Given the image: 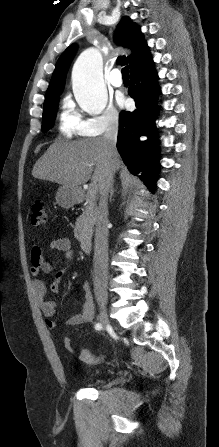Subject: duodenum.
Returning a JSON list of instances; mask_svg holds the SVG:
<instances>
[{"label":"duodenum","mask_w":219,"mask_h":447,"mask_svg":"<svg viewBox=\"0 0 219 447\" xmlns=\"http://www.w3.org/2000/svg\"><path fill=\"white\" fill-rule=\"evenodd\" d=\"M91 246H92V241L90 239H88V238H83L80 241V247H81V250L84 253H89L90 249H91Z\"/></svg>","instance_id":"1"}]
</instances>
